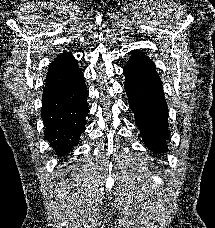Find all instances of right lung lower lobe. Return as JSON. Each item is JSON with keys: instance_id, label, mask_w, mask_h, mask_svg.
Segmentation results:
<instances>
[{"instance_id": "right-lung-lower-lobe-1", "label": "right lung lower lobe", "mask_w": 215, "mask_h": 228, "mask_svg": "<svg viewBox=\"0 0 215 228\" xmlns=\"http://www.w3.org/2000/svg\"><path fill=\"white\" fill-rule=\"evenodd\" d=\"M53 82L63 86L56 94L43 100L41 114L45 125L44 138L58 156H64L78 145L86 129L88 92L83 74L75 79Z\"/></svg>"}]
</instances>
